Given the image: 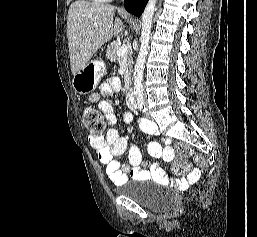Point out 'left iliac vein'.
<instances>
[{"label":"left iliac vein","instance_id":"obj_1","mask_svg":"<svg viewBox=\"0 0 257 237\" xmlns=\"http://www.w3.org/2000/svg\"><path fill=\"white\" fill-rule=\"evenodd\" d=\"M146 116H147V118H150V111H149V109H147Z\"/></svg>","mask_w":257,"mask_h":237}]
</instances>
